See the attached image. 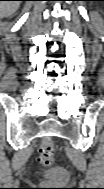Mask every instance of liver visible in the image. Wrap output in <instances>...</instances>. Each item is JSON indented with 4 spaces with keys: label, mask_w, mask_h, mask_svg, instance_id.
Returning a JSON list of instances; mask_svg holds the SVG:
<instances>
[{
    "label": "liver",
    "mask_w": 104,
    "mask_h": 189,
    "mask_svg": "<svg viewBox=\"0 0 104 189\" xmlns=\"http://www.w3.org/2000/svg\"><path fill=\"white\" fill-rule=\"evenodd\" d=\"M19 1H3L0 4L1 15L3 17H10L19 8Z\"/></svg>",
    "instance_id": "6515ba94"
}]
</instances>
